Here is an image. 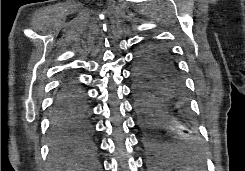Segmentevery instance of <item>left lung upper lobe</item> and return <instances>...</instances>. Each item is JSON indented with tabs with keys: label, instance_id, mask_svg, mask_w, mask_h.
<instances>
[{
	"label": "left lung upper lobe",
	"instance_id": "left-lung-upper-lobe-1",
	"mask_svg": "<svg viewBox=\"0 0 245 171\" xmlns=\"http://www.w3.org/2000/svg\"><path fill=\"white\" fill-rule=\"evenodd\" d=\"M159 43L150 41L143 44L137 51L135 61H152L151 53Z\"/></svg>",
	"mask_w": 245,
	"mask_h": 171
}]
</instances>
